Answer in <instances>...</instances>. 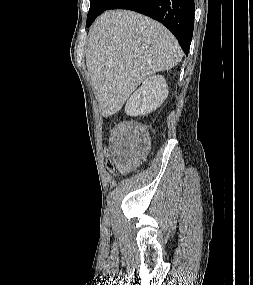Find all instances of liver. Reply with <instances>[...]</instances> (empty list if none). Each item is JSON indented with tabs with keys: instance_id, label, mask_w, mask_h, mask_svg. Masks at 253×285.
<instances>
[{
	"instance_id": "liver-1",
	"label": "liver",
	"mask_w": 253,
	"mask_h": 285,
	"mask_svg": "<svg viewBox=\"0 0 253 285\" xmlns=\"http://www.w3.org/2000/svg\"><path fill=\"white\" fill-rule=\"evenodd\" d=\"M176 38L157 21L128 10L100 15L89 31L86 65L104 117L118 112L150 75L182 58Z\"/></svg>"
}]
</instances>
